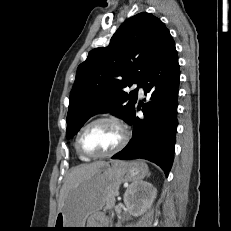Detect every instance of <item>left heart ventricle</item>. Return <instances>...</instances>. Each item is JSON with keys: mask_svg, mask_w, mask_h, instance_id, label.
<instances>
[{"mask_svg": "<svg viewBox=\"0 0 231 231\" xmlns=\"http://www.w3.org/2000/svg\"><path fill=\"white\" fill-rule=\"evenodd\" d=\"M121 140V131L113 123L99 122L85 130L81 138L82 149L89 154L112 150Z\"/></svg>", "mask_w": 231, "mask_h": 231, "instance_id": "obj_1", "label": "left heart ventricle"}]
</instances>
